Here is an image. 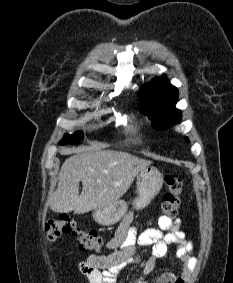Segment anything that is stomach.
<instances>
[{"instance_id": "obj_1", "label": "stomach", "mask_w": 233, "mask_h": 283, "mask_svg": "<svg viewBox=\"0 0 233 283\" xmlns=\"http://www.w3.org/2000/svg\"><path fill=\"white\" fill-rule=\"evenodd\" d=\"M163 186V175L153 167L147 166L137 174L136 190L137 198L133 205L137 210L145 208L159 193ZM128 206L125 201L118 200L115 203L95 209L93 218L101 225H112L119 222L126 214Z\"/></svg>"}]
</instances>
